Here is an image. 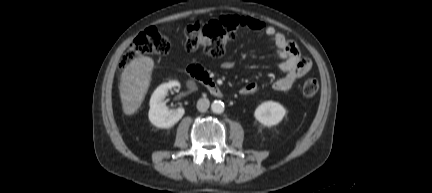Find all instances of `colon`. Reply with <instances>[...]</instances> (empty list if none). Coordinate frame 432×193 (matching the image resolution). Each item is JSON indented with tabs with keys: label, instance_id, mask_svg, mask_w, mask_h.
Masks as SVG:
<instances>
[{
	"label": "colon",
	"instance_id": "5ec220e1",
	"mask_svg": "<svg viewBox=\"0 0 432 193\" xmlns=\"http://www.w3.org/2000/svg\"><path fill=\"white\" fill-rule=\"evenodd\" d=\"M236 28L225 24L222 20H212L207 23L193 22L185 27V48L188 51L203 50L211 57H221L225 54L230 41L234 38ZM170 40L155 27H149L141 32L124 53L120 68H126L136 57L154 54H166L170 49ZM319 89L316 78H308L302 86L306 97L314 96Z\"/></svg>",
	"mask_w": 432,
	"mask_h": 193
}]
</instances>
